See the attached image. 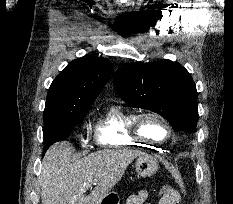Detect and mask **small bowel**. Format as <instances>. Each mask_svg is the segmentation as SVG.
<instances>
[{"instance_id": "1", "label": "small bowel", "mask_w": 233, "mask_h": 204, "mask_svg": "<svg viewBox=\"0 0 233 204\" xmlns=\"http://www.w3.org/2000/svg\"><path fill=\"white\" fill-rule=\"evenodd\" d=\"M148 197L146 190H141L137 194L131 195L126 204H143Z\"/></svg>"}]
</instances>
